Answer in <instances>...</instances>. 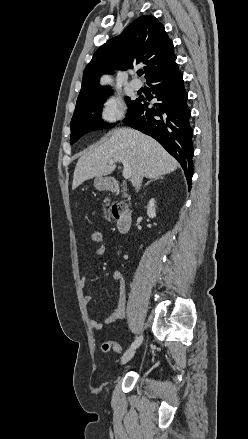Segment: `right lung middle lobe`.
Returning a JSON list of instances; mask_svg holds the SVG:
<instances>
[{
  "instance_id": "1",
  "label": "right lung middle lobe",
  "mask_w": 248,
  "mask_h": 439,
  "mask_svg": "<svg viewBox=\"0 0 248 439\" xmlns=\"http://www.w3.org/2000/svg\"><path fill=\"white\" fill-rule=\"evenodd\" d=\"M108 95H104L102 97L94 98L85 104L75 108L73 117L71 119L70 127H71V136H70V144H74L80 137L84 134L89 133L90 131H95L99 129L109 128L114 126V124L104 123L100 118L101 106L105 102V98ZM136 100H130L126 98V102L128 105V112L135 105Z\"/></svg>"
}]
</instances>
